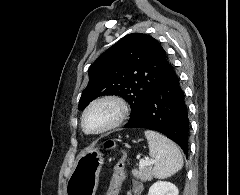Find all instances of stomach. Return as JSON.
Segmentation results:
<instances>
[{"mask_svg":"<svg viewBox=\"0 0 240 195\" xmlns=\"http://www.w3.org/2000/svg\"><path fill=\"white\" fill-rule=\"evenodd\" d=\"M103 155L100 147H86L80 151L67 181V195H95Z\"/></svg>","mask_w":240,"mask_h":195,"instance_id":"obj_1","label":"stomach"}]
</instances>
